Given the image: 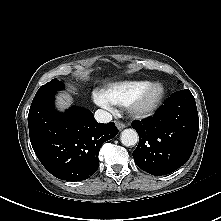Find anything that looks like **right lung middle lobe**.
I'll use <instances>...</instances> for the list:
<instances>
[{"instance_id":"obj_1","label":"right lung middle lobe","mask_w":221,"mask_h":221,"mask_svg":"<svg viewBox=\"0 0 221 221\" xmlns=\"http://www.w3.org/2000/svg\"><path fill=\"white\" fill-rule=\"evenodd\" d=\"M63 88H64V85L61 81L52 79L50 82L46 83L45 85H42L38 89L34 99L47 95V94L55 93L56 91L61 90Z\"/></svg>"}]
</instances>
